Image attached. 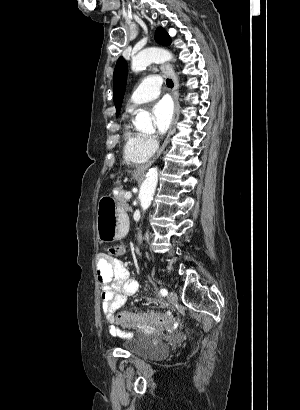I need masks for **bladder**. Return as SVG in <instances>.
<instances>
[{"instance_id": "bladder-1", "label": "bladder", "mask_w": 300, "mask_h": 410, "mask_svg": "<svg viewBox=\"0 0 300 410\" xmlns=\"http://www.w3.org/2000/svg\"><path fill=\"white\" fill-rule=\"evenodd\" d=\"M128 348L132 355L143 358L162 356L169 349L163 342H131Z\"/></svg>"}]
</instances>
